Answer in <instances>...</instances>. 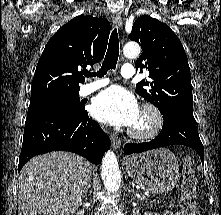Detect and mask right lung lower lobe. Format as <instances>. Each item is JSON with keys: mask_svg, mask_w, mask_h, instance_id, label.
<instances>
[{"mask_svg": "<svg viewBox=\"0 0 221 215\" xmlns=\"http://www.w3.org/2000/svg\"><path fill=\"white\" fill-rule=\"evenodd\" d=\"M110 139L84 110L76 116L47 113L26 118L18 172L32 157L51 151L77 153L93 164L101 162Z\"/></svg>", "mask_w": 221, "mask_h": 215, "instance_id": "1", "label": "right lung lower lobe"}]
</instances>
